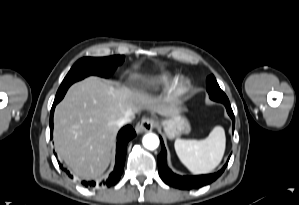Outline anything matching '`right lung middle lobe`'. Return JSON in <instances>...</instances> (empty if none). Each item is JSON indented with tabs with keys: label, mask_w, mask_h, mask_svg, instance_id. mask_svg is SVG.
Returning a JSON list of instances; mask_svg holds the SVG:
<instances>
[{
	"label": "right lung middle lobe",
	"mask_w": 299,
	"mask_h": 205,
	"mask_svg": "<svg viewBox=\"0 0 299 205\" xmlns=\"http://www.w3.org/2000/svg\"><path fill=\"white\" fill-rule=\"evenodd\" d=\"M123 60L124 55L103 58L84 57L78 60L61 83L57 91L55 101H60L64 97L71 84L89 75H98L101 77L111 76Z\"/></svg>",
	"instance_id": "dd1d6c3e"
}]
</instances>
